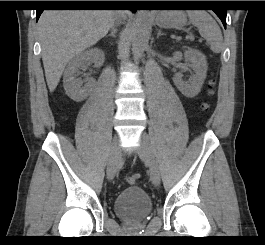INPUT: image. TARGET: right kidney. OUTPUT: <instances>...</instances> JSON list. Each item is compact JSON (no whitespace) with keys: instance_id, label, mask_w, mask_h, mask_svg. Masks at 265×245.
<instances>
[{"instance_id":"ca27d5eb","label":"right kidney","mask_w":265,"mask_h":245,"mask_svg":"<svg viewBox=\"0 0 265 245\" xmlns=\"http://www.w3.org/2000/svg\"><path fill=\"white\" fill-rule=\"evenodd\" d=\"M89 62H94L96 64L103 63L104 52L98 48H92L82 52L69 61L64 71V89L66 94L74 101H83L89 94V87H83L82 81L77 78L79 69Z\"/></svg>"}]
</instances>
